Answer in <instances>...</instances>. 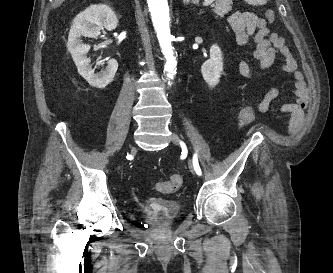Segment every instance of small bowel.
I'll return each instance as SVG.
<instances>
[{
    "mask_svg": "<svg viewBox=\"0 0 333 273\" xmlns=\"http://www.w3.org/2000/svg\"><path fill=\"white\" fill-rule=\"evenodd\" d=\"M229 24L240 46L254 44L253 57L257 61V68L260 71L270 69L278 54L283 56L284 62L280 68L293 76V94L296 98L295 102L284 105L283 109L291 114L292 126L294 127L305 106L304 82L298 70L297 61L286 46L284 38L270 30L268 22L264 18L249 10H237L232 13ZM237 69L242 77L254 78L253 69L247 62L239 61ZM278 95L279 89H270L263 98L255 101V108L259 112H266Z\"/></svg>",
    "mask_w": 333,
    "mask_h": 273,
    "instance_id": "c3829d8e",
    "label": "small bowel"
}]
</instances>
